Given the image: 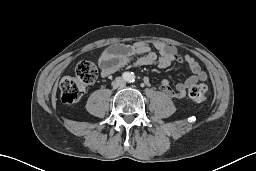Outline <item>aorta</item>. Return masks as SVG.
<instances>
[{"label": "aorta", "mask_w": 256, "mask_h": 171, "mask_svg": "<svg viewBox=\"0 0 256 171\" xmlns=\"http://www.w3.org/2000/svg\"><path fill=\"white\" fill-rule=\"evenodd\" d=\"M133 80V76H131L130 78H129V81H132Z\"/></svg>", "instance_id": "obj_1"}]
</instances>
